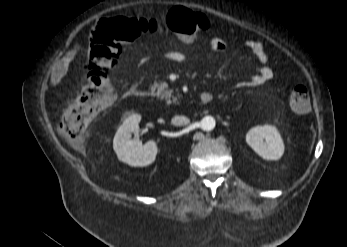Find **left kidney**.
<instances>
[{"label": "left kidney", "instance_id": "1", "mask_svg": "<svg viewBox=\"0 0 347 247\" xmlns=\"http://www.w3.org/2000/svg\"><path fill=\"white\" fill-rule=\"evenodd\" d=\"M247 144L263 159L278 160L284 153V143L271 125L256 126L246 134Z\"/></svg>", "mask_w": 347, "mask_h": 247}]
</instances>
